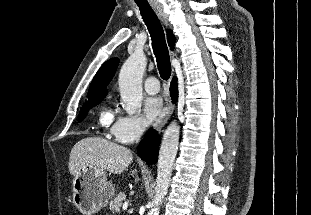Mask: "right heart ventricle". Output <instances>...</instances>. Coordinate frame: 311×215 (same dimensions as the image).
Returning a JSON list of instances; mask_svg holds the SVG:
<instances>
[{
    "mask_svg": "<svg viewBox=\"0 0 311 215\" xmlns=\"http://www.w3.org/2000/svg\"><path fill=\"white\" fill-rule=\"evenodd\" d=\"M111 118H112V113L107 108H105L99 115V121L101 124H106L107 121Z\"/></svg>",
    "mask_w": 311,
    "mask_h": 215,
    "instance_id": "1",
    "label": "right heart ventricle"
}]
</instances>
